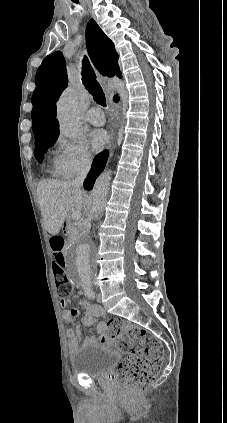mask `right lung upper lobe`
<instances>
[{"label": "right lung upper lobe", "instance_id": "1", "mask_svg": "<svg viewBox=\"0 0 227 423\" xmlns=\"http://www.w3.org/2000/svg\"><path fill=\"white\" fill-rule=\"evenodd\" d=\"M86 47L97 70L108 77H120L118 54L112 41L96 22L90 21L86 28ZM36 88L32 96V130L35 138L59 134L56 120V101L67 87L66 66L60 51L48 55L37 70ZM117 101L118 97L115 96Z\"/></svg>", "mask_w": 227, "mask_h": 423}]
</instances>
